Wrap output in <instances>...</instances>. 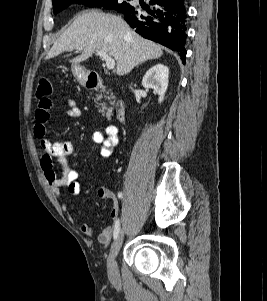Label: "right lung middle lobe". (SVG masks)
<instances>
[{"label":"right lung middle lobe","mask_w":267,"mask_h":301,"mask_svg":"<svg viewBox=\"0 0 267 301\" xmlns=\"http://www.w3.org/2000/svg\"><path fill=\"white\" fill-rule=\"evenodd\" d=\"M73 3H82L88 7H103L105 9H114L118 12L129 5L128 2L118 3V0H53L54 14L60 12Z\"/></svg>","instance_id":"1"}]
</instances>
